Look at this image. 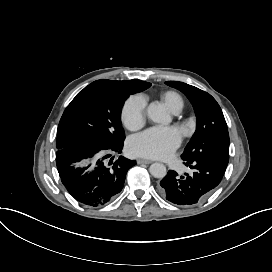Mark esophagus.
I'll list each match as a JSON object with an SVG mask.
<instances>
[{"instance_id": "34e87169", "label": "esophagus", "mask_w": 272, "mask_h": 272, "mask_svg": "<svg viewBox=\"0 0 272 272\" xmlns=\"http://www.w3.org/2000/svg\"><path fill=\"white\" fill-rule=\"evenodd\" d=\"M137 163L138 164H150V163H152V161L148 160V159L139 158V159H137Z\"/></svg>"}]
</instances>
